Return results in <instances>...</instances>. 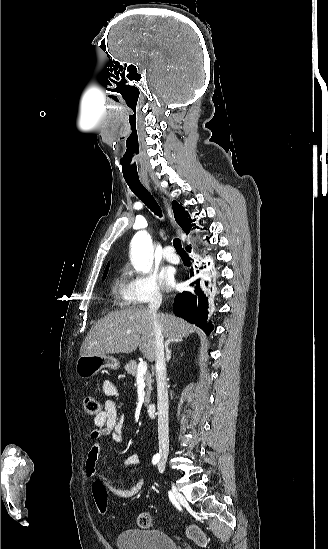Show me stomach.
<instances>
[{"mask_svg":"<svg viewBox=\"0 0 328 549\" xmlns=\"http://www.w3.org/2000/svg\"><path fill=\"white\" fill-rule=\"evenodd\" d=\"M118 359L112 355H84L79 357L76 363V373L80 379H90L102 369H119Z\"/></svg>","mask_w":328,"mask_h":549,"instance_id":"stomach-1","label":"stomach"}]
</instances>
